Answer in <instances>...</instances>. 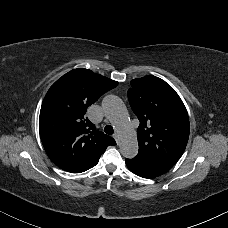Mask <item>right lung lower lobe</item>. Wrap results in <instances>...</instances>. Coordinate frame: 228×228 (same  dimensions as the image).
<instances>
[{
  "mask_svg": "<svg viewBox=\"0 0 228 228\" xmlns=\"http://www.w3.org/2000/svg\"><path fill=\"white\" fill-rule=\"evenodd\" d=\"M99 160V159H98ZM98 160H95L93 162H91L90 164H88L86 167L82 168L81 170H79L78 172L76 173H80V172H83V171H86L90 168H92L93 166H95L97 163H98Z\"/></svg>",
  "mask_w": 228,
  "mask_h": 228,
  "instance_id": "1",
  "label": "right lung lower lobe"
}]
</instances>
